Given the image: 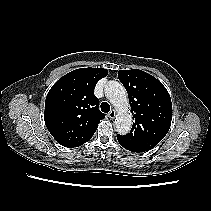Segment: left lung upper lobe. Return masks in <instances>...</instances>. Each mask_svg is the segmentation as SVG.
I'll return each mask as SVG.
<instances>
[{"instance_id":"5c2ea615","label":"left lung upper lobe","mask_w":211,"mask_h":211,"mask_svg":"<svg viewBox=\"0 0 211 211\" xmlns=\"http://www.w3.org/2000/svg\"><path fill=\"white\" fill-rule=\"evenodd\" d=\"M133 115L129 134L117 135L118 142L132 152L153 149L168 133L172 120V103L162 83L138 69L119 70Z\"/></svg>"}]
</instances>
